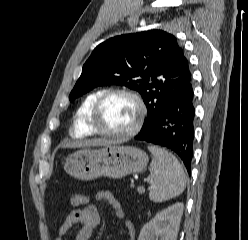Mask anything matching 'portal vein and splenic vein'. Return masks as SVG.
<instances>
[{
	"mask_svg": "<svg viewBox=\"0 0 248 240\" xmlns=\"http://www.w3.org/2000/svg\"><path fill=\"white\" fill-rule=\"evenodd\" d=\"M145 191V189H144V187H138V192H144Z\"/></svg>",
	"mask_w": 248,
	"mask_h": 240,
	"instance_id": "1",
	"label": "portal vein and splenic vein"
}]
</instances>
